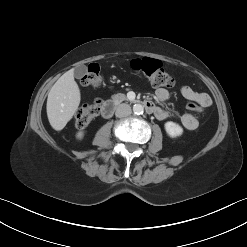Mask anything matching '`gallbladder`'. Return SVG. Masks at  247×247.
Returning <instances> with one entry per match:
<instances>
[{
	"label": "gallbladder",
	"instance_id": "1",
	"mask_svg": "<svg viewBox=\"0 0 247 247\" xmlns=\"http://www.w3.org/2000/svg\"><path fill=\"white\" fill-rule=\"evenodd\" d=\"M85 73H86V66L84 65L77 66L74 70V75L77 78L82 77Z\"/></svg>",
	"mask_w": 247,
	"mask_h": 247
}]
</instances>
